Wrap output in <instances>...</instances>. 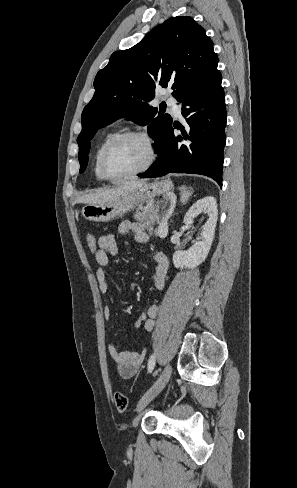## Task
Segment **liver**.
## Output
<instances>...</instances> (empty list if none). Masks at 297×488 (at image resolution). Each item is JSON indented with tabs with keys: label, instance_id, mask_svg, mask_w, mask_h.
Wrapping results in <instances>:
<instances>
[{
	"label": "liver",
	"instance_id": "liver-1",
	"mask_svg": "<svg viewBox=\"0 0 297 488\" xmlns=\"http://www.w3.org/2000/svg\"><path fill=\"white\" fill-rule=\"evenodd\" d=\"M146 183H147L146 179H141V180L131 179L115 188L101 190L98 192L84 195L80 198V201L88 204H101V203L112 202L116 200L123 193L140 188Z\"/></svg>",
	"mask_w": 297,
	"mask_h": 488
}]
</instances>
